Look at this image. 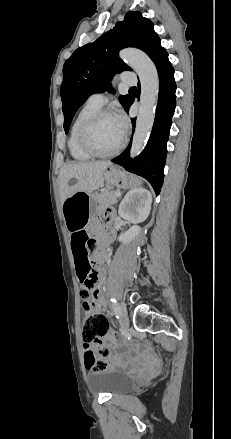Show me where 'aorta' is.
<instances>
[{"label": "aorta", "instance_id": "obj_1", "mask_svg": "<svg viewBox=\"0 0 231 439\" xmlns=\"http://www.w3.org/2000/svg\"><path fill=\"white\" fill-rule=\"evenodd\" d=\"M120 57L136 71L141 83L140 105L130 151V156L135 157L145 147L152 131L158 103L159 77L155 64L144 52L128 48L120 52Z\"/></svg>", "mask_w": 231, "mask_h": 439}]
</instances>
